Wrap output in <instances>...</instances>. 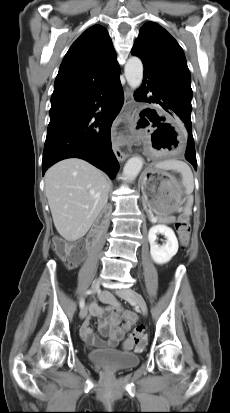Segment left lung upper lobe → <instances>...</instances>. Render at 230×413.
<instances>
[{
    "mask_svg": "<svg viewBox=\"0 0 230 413\" xmlns=\"http://www.w3.org/2000/svg\"><path fill=\"white\" fill-rule=\"evenodd\" d=\"M141 58L144 73L154 77L162 90L191 110V76L178 42L160 25L145 23L131 51Z\"/></svg>",
    "mask_w": 230,
    "mask_h": 413,
    "instance_id": "1",
    "label": "left lung upper lobe"
}]
</instances>
